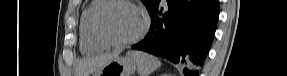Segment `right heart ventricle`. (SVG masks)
<instances>
[{
	"label": "right heart ventricle",
	"instance_id": "1",
	"mask_svg": "<svg viewBox=\"0 0 287 76\" xmlns=\"http://www.w3.org/2000/svg\"><path fill=\"white\" fill-rule=\"evenodd\" d=\"M104 0H93L84 8L79 26L80 50L85 54L103 51L106 47L99 43L92 33V18Z\"/></svg>",
	"mask_w": 287,
	"mask_h": 76
}]
</instances>
